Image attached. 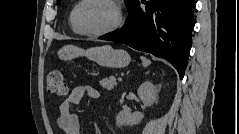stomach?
Listing matches in <instances>:
<instances>
[{"label":"stomach","mask_w":239,"mask_h":134,"mask_svg":"<svg viewBox=\"0 0 239 134\" xmlns=\"http://www.w3.org/2000/svg\"><path fill=\"white\" fill-rule=\"evenodd\" d=\"M58 58L71 60L78 56H85L98 65L109 68H123L130 62V56L125 50L113 49L109 45L96 46L84 50L77 46L66 45L59 49Z\"/></svg>","instance_id":"stomach-1"}]
</instances>
